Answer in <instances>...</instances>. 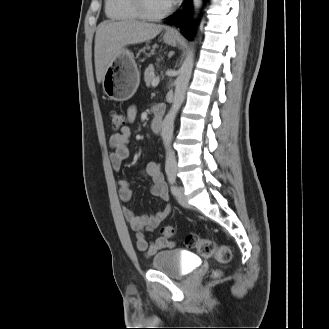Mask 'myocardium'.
I'll return each mask as SVG.
<instances>
[{"label":"myocardium","mask_w":329,"mask_h":329,"mask_svg":"<svg viewBox=\"0 0 329 329\" xmlns=\"http://www.w3.org/2000/svg\"><path fill=\"white\" fill-rule=\"evenodd\" d=\"M135 8L139 13L140 17L147 21H156L166 17L172 10V7L169 6L160 13H152L148 10L145 0H133Z\"/></svg>","instance_id":"obj_1"}]
</instances>
